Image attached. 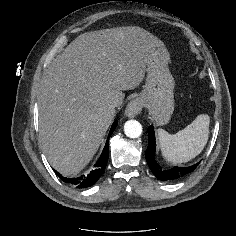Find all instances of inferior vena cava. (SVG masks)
<instances>
[{"instance_id": "1", "label": "inferior vena cava", "mask_w": 236, "mask_h": 236, "mask_svg": "<svg viewBox=\"0 0 236 236\" xmlns=\"http://www.w3.org/2000/svg\"><path fill=\"white\" fill-rule=\"evenodd\" d=\"M116 107V104L115 103H112L111 105H110V108H112V109H114Z\"/></svg>"}]
</instances>
